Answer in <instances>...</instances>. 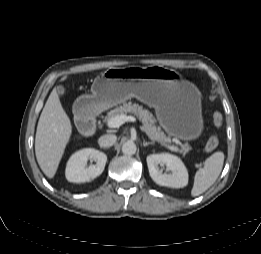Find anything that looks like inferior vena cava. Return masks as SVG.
<instances>
[{
    "instance_id": "602c4592",
    "label": "inferior vena cava",
    "mask_w": 261,
    "mask_h": 254,
    "mask_svg": "<svg viewBox=\"0 0 261 254\" xmlns=\"http://www.w3.org/2000/svg\"><path fill=\"white\" fill-rule=\"evenodd\" d=\"M116 140H117L116 135L105 134L98 139V144L100 145V147L106 148L115 144Z\"/></svg>"
}]
</instances>
